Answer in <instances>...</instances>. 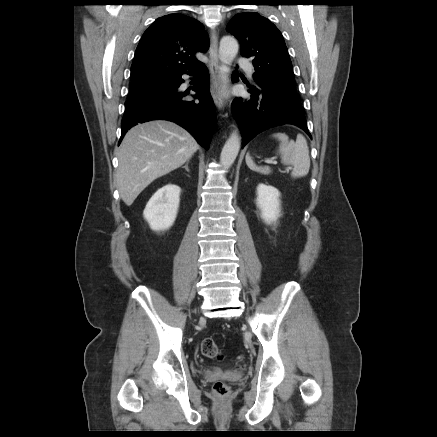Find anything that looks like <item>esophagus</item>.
<instances>
[{
  "label": "esophagus",
  "instance_id": "esophagus-1",
  "mask_svg": "<svg viewBox=\"0 0 437 437\" xmlns=\"http://www.w3.org/2000/svg\"><path fill=\"white\" fill-rule=\"evenodd\" d=\"M209 72L211 80V95L216 107L222 110L225 106L220 87V60L218 53V36L215 29L210 31Z\"/></svg>",
  "mask_w": 437,
  "mask_h": 437
}]
</instances>
